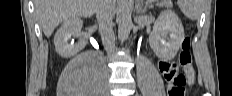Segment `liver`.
<instances>
[{
	"mask_svg": "<svg viewBox=\"0 0 232 96\" xmlns=\"http://www.w3.org/2000/svg\"><path fill=\"white\" fill-rule=\"evenodd\" d=\"M98 0H34L44 34L50 37L60 22L78 16L91 17Z\"/></svg>",
	"mask_w": 232,
	"mask_h": 96,
	"instance_id": "obj_1",
	"label": "liver"
}]
</instances>
